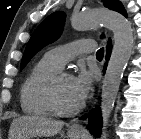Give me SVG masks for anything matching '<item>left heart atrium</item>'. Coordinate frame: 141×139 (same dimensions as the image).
<instances>
[{
  "label": "left heart atrium",
  "mask_w": 141,
  "mask_h": 139,
  "mask_svg": "<svg viewBox=\"0 0 141 139\" xmlns=\"http://www.w3.org/2000/svg\"><path fill=\"white\" fill-rule=\"evenodd\" d=\"M93 83V73L81 69L79 73L73 77V86L77 98L82 102L87 97Z\"/></svg>",
  "instance_id": "obj_1"
}]
</instances>
